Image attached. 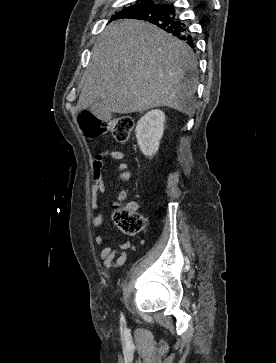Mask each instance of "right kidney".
Listing matches in <instances>:
<instances>
[{
	"mask_svg": "<svg viewBox=\"0 0 276 363\" xmlns=\"http://www.w3.org/2000/svg\"><path fill=\"white\" fill-rule=\"evenodd\" d=\"M165 114L155 109L147 112L137 123L135 132L141 152L149 157L158 151L164 132Z\"/></svg>",
	"mask_w": 276,
	"mask_h": 363,
	"instance_id": "ca27d5eb",
	"label": "right kidney"
}]
</instances>
